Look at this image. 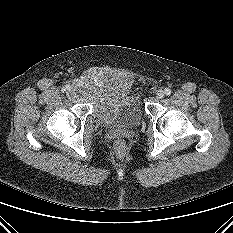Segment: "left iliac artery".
Here are the masks:
<instances>
[{
    "instance_id": "44dca946",
    "label": "left iliac artery",
    "mask_w": 233,
    "mask_h": 233,
    "mask_svg": "<svg viewBox=\"0 0 233 233\" xmlns=\"http://www.w3.org/2000/svg\"><path fill=\"white\" fill-rule=\"evenodd\" d=\"M164 92H165L166 95H170L171 94V90L169 88H166L164 90Z\"/></svg>"
}]
</instances>
